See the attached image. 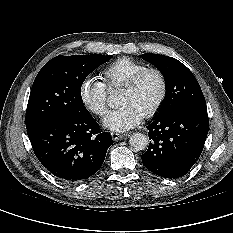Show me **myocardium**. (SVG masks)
Segmentation results:
<instances>
[{"label": "myocardium", "mask_w": 233, "mask_h": 233, "mask_svg": "<svg viewBox=\"0 0 233 233\" xmlns=\"http://www.w3.org/2000/svg\"><path fill=\"white\" fill-rule=\"evenodd\" d=\"M147 74L157 75L161 83V91H160V94L157 100L150 107V109L146 111L145 114L143 115L144 118H151L162 107L168 94V81H167L166 75L160 69L153 68V67H147L137 72L126 82V84L122 87V90L123 91L133 90Z\"/></svg>", "instance_id": "obj_1"}]
</instances>
